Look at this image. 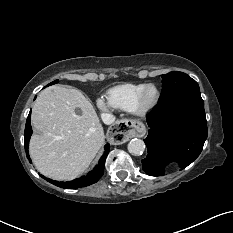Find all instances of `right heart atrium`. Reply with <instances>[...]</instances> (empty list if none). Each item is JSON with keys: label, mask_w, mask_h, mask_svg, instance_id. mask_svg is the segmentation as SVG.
Masks as SVG:
<instances>
[{"label": "right heart atrium", "mask_w": 233, "mask_h": 233, "mask_svg": "<svg viewBox=\"0 0 233 233\" xmlns=\"http://www.w3.org/2000/svg\"><path fill=\"white\" fill-rule=\"evenodd\" d=\"M96 105L103 112L109 111L111 108V106L108 104V102L103 98H98L96 100Z\"/></svg>", "instance_id": "obj_1"}]
</instances>
